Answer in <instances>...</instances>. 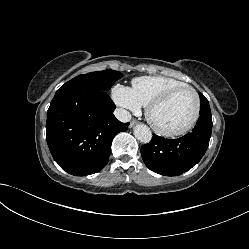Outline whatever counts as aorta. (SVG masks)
<instances>
[{"instance_id":"762f6f07","label":"aorta","mask_w":249,"mask_h":249,"mask_svg":"<svg viewBox=\"0 0 249 249\" xmlns=\"http://www.w3.org/2000/svg\"><path fill=\"white\" fill-rule=\"evenodd\" d=\"M134 135L142 143H149L152 139L150 128L144 124H139L134 128Z\"/></svg>"}]
</instances>
